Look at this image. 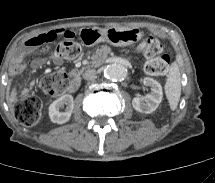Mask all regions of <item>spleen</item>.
I'll return each mask as SVG.
<instances>
[{"label": "spleen", "mask_w": 215, "mask_h": 183, "mask_svg": "<svg viewBox=\"0 0 215 183\" xmlns=\"http://www.w3.org/2000/svg\"><path fill=\"white\" fill-rule=\"evenodd\" d=\"M164 89L171 110H175L181 96V74L175 63L170 68Z\"/></svg>", "instance_id": "obj_1"}]
</instances>
